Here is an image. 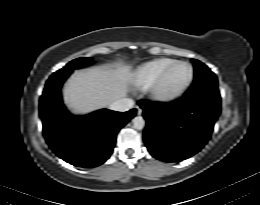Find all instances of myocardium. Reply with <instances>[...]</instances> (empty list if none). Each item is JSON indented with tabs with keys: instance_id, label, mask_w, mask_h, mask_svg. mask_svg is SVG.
Segmentation results:
<instances>
[{
	"instance_id": "1",
	"label": "myocardium",
	"mask_w": 260,
	"mask_h": 205,
	"mask_svg": "<svg viewBox=\"0 0 260 205\" xmlns=\"http://www.w3.org/2000/svg\"><path fill=\"white\" fill-rule=\"evenodd\" d=\"M178 65H186L190 70V75L188 81L178 90L173 92H165L162 89L163 83L172 69ZM194 80V69L193 66L186 61H176L167 67L160 76L156 79V81L149 87L148 92L150 98L157 103L160 104H168L176 101L181 96H183L187 90L191 87Z\"/></svg>"
}]
</instances>
